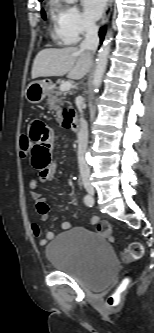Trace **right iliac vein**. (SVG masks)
Returning a JSON list of instances; mask_svg holds the SVG:
<instances>
[{
    "mask_svg": "<svg viewBox=\"0 0 154 333\" xmlns=\"http://www.w3.org/2000/svg\"><path fill=\"white\" fill-rule=\"evenodd\" d=\"M83 185L85 187V189L87 190V192L90 194V195H94V188L93 186L91 185V182L89 180V178L87 177H83Z\"/></svg>",
    "mask_w": 154,
    "mask_h": 333,
    "instance_id": "right-iliac-vein-1",
    "label": "right iliac vein"
}]
</instances>
